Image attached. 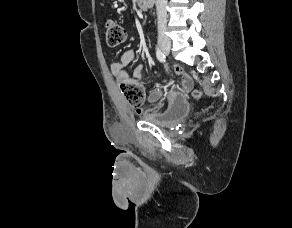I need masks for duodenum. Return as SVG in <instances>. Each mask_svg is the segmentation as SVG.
<instances>
[{
    "label": "duodenum",
    "instance_id": "duodenum-1",
    "mask_svg": "<svg viewBox=\"0 0 292 228\" xmlns=\"http://www.w3.org/2000/svg\"><path fill=\"white\" fill-rule=\"evenodd\" d=\"M154 0H138L139 7L143 10L149 9L152 7Z\"/></svg>",
    "mask_w": 292,
    "mask_h": 228
}]
</instances>
